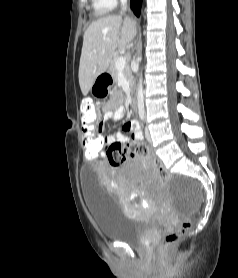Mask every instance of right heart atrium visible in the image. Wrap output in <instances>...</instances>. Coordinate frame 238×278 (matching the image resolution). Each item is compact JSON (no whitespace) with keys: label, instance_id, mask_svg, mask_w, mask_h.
Listing matches in <instances>:
<instances>
[{"label":"right heart atrium","instance_id":"obj_1","mask_svg":"<svg viewBox=\"0 0 238 278\" xmlns=\"http://www.w3.org/2000/svg\"><path fill=\"white\" fill-rule=\"evenodd\" d=\"M118 0H113V2L116 4Z\"/></svg>","mask_w":238,"mask_h":278}]
</instances>
